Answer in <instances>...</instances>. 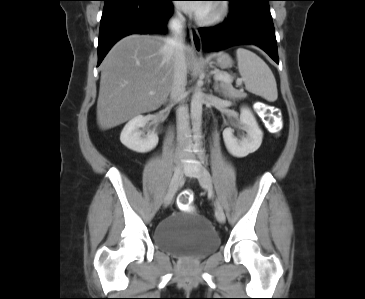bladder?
<instances>
[{"label":"bladder","mask_w":365,"mask_h":299,"mask_svg":"<svg viewBox=\"0 0 365 299\" xmlns=\"http://www.w3.org/2000/svg\"><path fill=\"white\" fill-rule=\"evenodd\" d=\"M152 237L160 250L182 257H202L220 245L219 236L207 218L184 210L161 220Z\"/></svg>","instance_id":"31cf9c89"}]
</instances>
